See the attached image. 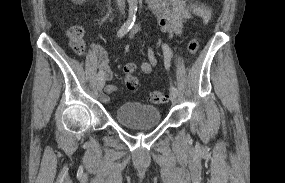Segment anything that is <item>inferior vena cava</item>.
Here are the masks:
<instances>
[{
  "label": "inferior vena cava",
  "instance_id": "1",
  "mask_svg": "<svg viewBox=\"0 0 285 183\" xmlns=\"http://www.w3.org/2000/svg\"><path fill=\"white\" fill-rule=\"evenodd\" d=\"M117 5L121 11L124 9V0H117Z\"/></svg>",
  "mask_w": 285,
  "mask_h": 183
}]
</instances>
